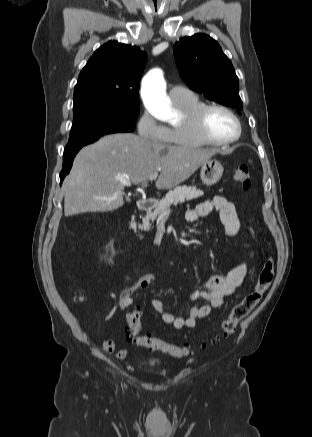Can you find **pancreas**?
<instances>
[{
	"mask_svg": "<svg viewBox=\"0 0 312 437\" xmlns=\"http://www.w3.org/2000/svg\"><path fill=\"white\" fill-rule=\"evenodd\" d=\"M203 195V191L191 186H178L170 190L164 198H162L155 206L154 211H148L146 216L142 218V224L139 225V230L148 231L152 228L150 221L156 218L163 212L170 209L171 205H178L185 200L190 201Z\"/></svg>",
	"mask_w": 312,
	"mask_h": 437,
	"instance_id": "obj_1",
	"label": "pancreas"
}]
</instances>
